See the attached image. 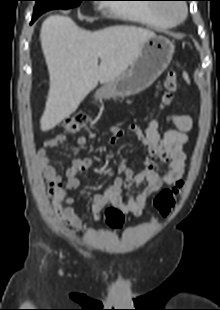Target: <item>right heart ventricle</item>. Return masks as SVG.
<instances>
[{"label":"right heart ventricle","instance_id":"right-heart-ventricle-1","mask_svg":"<svg viewBox=\"0 0 220 310\" xmlns=\"http://www.w3.org/2000/svg\"><path fill=\"white\" fill-rule=\"evenodd\" d=\"M159 5L116 6L113 13L151 28H168L174 25L158 14Z\"/></svg>","mask_w":220,"mask_h":310}]
</instances>
